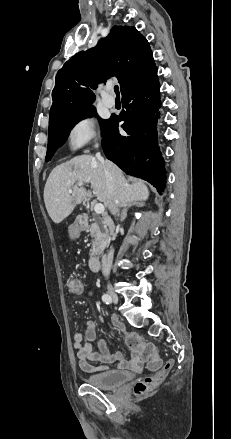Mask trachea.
<instances>
[{
    "instance_id": "trachea-1",
    "label": "trachea",
    "mask_w": 231,
    "mask_h": 439,
    "mask_svg": "<svg viewBox=\"0 0 231 439\" xmlns=\"http://www.w3.org/2000/svg\"><path fill=\"white\" fill-rule=\"evenodd\" d=\"M114 91H115V93H116V96L119 97V87H118V85H116V86L114 87Z\"/></svg>"
}]
</instances>
